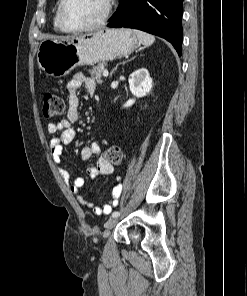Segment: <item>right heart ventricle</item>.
I'll return each mask as SVG.
<instances>
[{
    "mask_svg": "<svg viewBox=\"0 0 247 296\" xmlns=\"http://www.w3.org/2000/svg\"><path fill=\"white\" fill-rule=\"evenodd\" d=\"M58 6H59V2L57 4V7H56V10L54 13V17H53V26L56 31L62 32L63 30L60 28L59 23H58Z\"/></svg>",
    "mask_w": 247,
    "mask_h": 296,
    "instance_id": "e07e8e85",
    "label": "right heart ventricle"
}]
</instances>
